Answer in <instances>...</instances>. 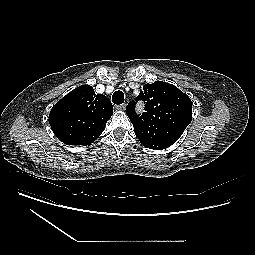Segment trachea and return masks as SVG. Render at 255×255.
<instances>
[{"label": "trachea", "mask_w": 255, "mask_h": 255, "mask_svg": "<svg viewBox=\"0 0 255 255\" xmlns=\"http://www.w3.org/2000/svg\"><path fill=\"white\" fill-rule=\"evenodd\" d=\"M112 102L114 104L120 105L124 102V94L122 91H115L112 95Z\"/></svg>", "instance_id": "3493384b"}]
</instances>
